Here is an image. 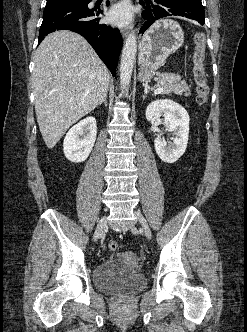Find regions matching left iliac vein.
<instances>
[{"label": "left iliac vein", "mask_w": 247, "mask_h": 332, "mask_svg": "<svg viewBox=\"0 0 247 332\" xmlns=\"http://www.w3.org/2000/svg\"><path fill=\"white\" fill-rule=\"evenodd\" d=\"M135 215L137 216V218H138V220H139V222H140V224H141V226L144 230V233H145L146 237L148 239H151L152 234H151V230L148 226V223H147L146 219L144 218V216L139 211H135Z\"/></svg>", "instance_id": "left-iliac-vein-1"}]
</instances>
